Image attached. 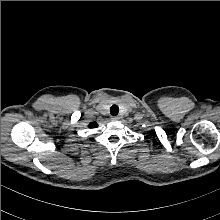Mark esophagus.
Wrapping results in <instances>:
<instances>
[{"mask_svg": "<svg viewBox=\"0 0 220 220\" xmlns=\"http://www.w3.org/2000/svg\"><path fill=\"white\" fill-rule=\"evenodd\" d=\"M111 120L117 121V120H119V117H118V116H112V117H111Z\"/></svg>", "mask_w": 220, "mask_h": 220, "instance_id": "esophagus-1", "label": "esophagus"}]
</instances>
